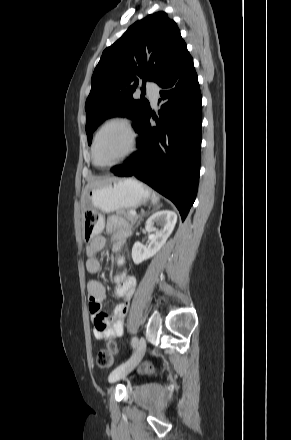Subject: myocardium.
<instances>
[{"mask_svg": "<svg viewBox=\"0 0 291 440\" xmlns=\"http://www.w3.org/2000/svg\"><path fill=\"white\" fill-rule=\"evenodd\" d=\"M112 126H119L126 131V133L128 135L127 151L117 161L107 163V164H98L95 160V149H96L98 138L103 131H105L106 129H108ZM136 143H137V135H136V132H135V130L129 120H127L126 118H122V117H114V118L108 119L103 124L100 125V127L96 130V132L93 136L92 145H91L92 163L98 168L115 167V166L123 163L126 159H128L133 154V152L135 151V148H136Z\"/></svg>", "mask_w": 291, "mask_h": 440, "instance_id": "myocardium-1", "label": "myocardium"}]
</instances>
